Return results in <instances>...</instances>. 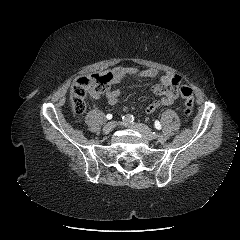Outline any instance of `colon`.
Instances as JSON below:
<instances>
[{
	"label": "colon",
	"instance_id": "5ec220e1",
	"mask_svg": "<svg viewBox=\"0 0 240 240\" xmlns=\"http://www.w3.org/2000/svg\"><path fill=\"white\" fill-rule=\"evenodd\" d=\"M111 79L112 76L109 72L94 73L86 77L78 78L73 83L70 91L73 113L76 116L82 115L86 109L85 97L87 94L99 95L105 92ZM178 87L179 86H176V88ZM179 92L184 101V115L190 117L194 109L193 91L190 87L184 85L180 87Z\"/></svg>",
	"mask_w": 240,
	"mask_h": 240
}]
</instances>
